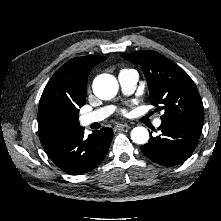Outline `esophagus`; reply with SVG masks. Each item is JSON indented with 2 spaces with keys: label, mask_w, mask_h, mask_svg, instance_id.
I'll return each instance as SVG.
<instances>
[{
  "label": "esophagus",
  "mask_w": 221,
  "mask_h": 221,
  "mask_svg": "<svg viewBox=\"0 0 221 221\" xmlns=\"http://www.w3.org/2000/svg\"><path fill=\"white\" fill-rule=\"evenodd\" d=\"M130 125L127 123H119L115 126L116 130H121V129H125V128H129Z\"/></svg>",
  "instance_id": "34e87169"
}]
</instances>
